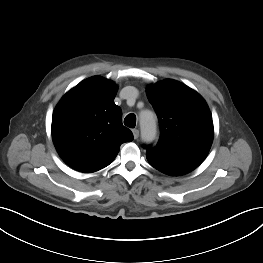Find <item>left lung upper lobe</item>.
Returning a JSON list of instances; mask_svg holds the SVG:
<instances>
[{
	"label": "left lung upper lobe",
	"mask_w": 263,
	"mask_h": 263,
	"mask_svg": "<svg viewBox=\"0 0 263 263\" xmlns=\"http://www.w3.org/2000/svg\"><path fill=\"white\" fill-rule=\"evenodd\" d=\"M156 111L160 138L148 152L159 156L202 162L213 141V121L205 100L193 89L171 79L147 88Z\"/></svg>",
	"instance_id": "obj_1"
}]
</instances>
